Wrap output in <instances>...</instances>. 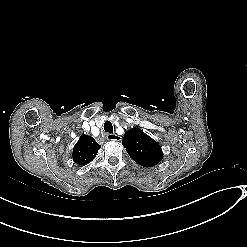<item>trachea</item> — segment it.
I'll return each mask as SVG.
<instances>
[{
  "label": "trachea",
  "mask_w": 247,
  "mask_h": 247,
  "mask_svg": "<svg viewBox=\"0 0 247 247\" xmlns=\"http://www.w3.org/2000/svg\"><path fill=\"white\" fill-rule=\"evenodd\" d=\"M104 131L107 133H112L113 132V125L110 121H106L104 123Z\"/></svg>",
  "instance_id": "1"
}]
</instances>
